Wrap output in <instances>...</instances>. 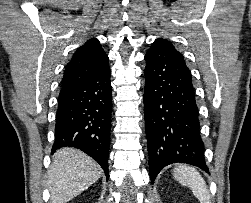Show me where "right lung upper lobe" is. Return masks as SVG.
Returning <instances> with one entry per match:
<instances>
[{"mask_svg":"<svg viewBox=\"0 0 251 203\" xmlns=\"http://www.w3.org/2000/svg\"><path fill=\"white\" fill-rule=\"evenodd\" d=\"M108 60L99 41L91 38L77 49L67 64L62 79L61 91L69 89L95 74L108 64Z\"/></svg>","mask_w":251,"mask_h":203,"instance_id":"cb5924a9","label":"right lung upper lobe"}]
</instances>
